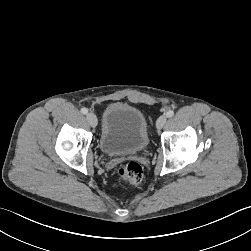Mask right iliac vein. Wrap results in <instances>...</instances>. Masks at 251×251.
Segmentation results:
<instances>
[{"label": "right iliac vein", "instance_id": "1", "mask_svg": "<svg viewBox=\"0 0 251 251\" xmlns=\"http://www.w3.org/2000/svg\"><path fill=\"white\" fill-rule=\"evenodd\" d=\"M86 119L90 126L95 127L97 125V117L94 113H88Z\"/></svg>", "mask_w": 251, "mask_h": 251}]
</instances>
